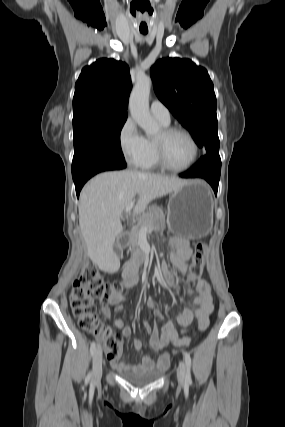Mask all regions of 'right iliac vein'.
<instances>
[{
    "instance_id": "1",
    "label": "right iliac vein",
    "mask_w": 285,
    "mask_h": 427,
    "mask_svg": "<svg viewBox=\"0 0 285 427\" xmlns=\"http://www.w3.org/2000/svg\"><path fill=\"white\" fill-rule=\"evenodd\" d=\"M102 350L98 347L93 356V366H92V381L97 382L102 375Z\"/></svg>"
}]
</instances>
